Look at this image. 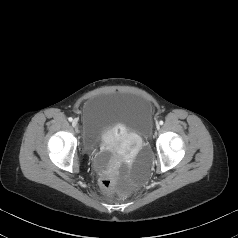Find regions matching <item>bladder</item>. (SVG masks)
I'll return each instance as SVG.
<instances>
[{
	"mask_svg": "<svg viewBox=\"0 0 238 238\" xmlns=\"http://www.w3.org/2000/svg\"><path fill=\"white\" fill-rule=\"evenodd\" d=\"M152 115L151 102L139 94L106 92L89 98L81 114L82 144L88 153H94V168L103 171L108 167V154L98 153V149L112 128L121 125L128 133L147 138Z\"/></svg>",
	"mask_w": 238,
	"mask_h": 238,
	"instance_id": "bladder-1",
	"label": "bladder"
}]
</instances>
